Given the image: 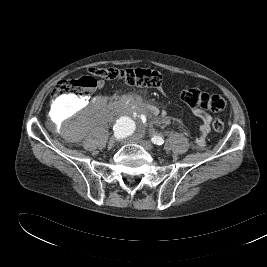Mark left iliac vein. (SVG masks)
I'll use <instances>...</instances> for the list:
<instances>
[{
    "label": "left iliac vein",
    "instance_id": "obj_1",
    "mask_svg": "<svg viewBox=\"0 0 267 267\" xmlns=\"http://www.w3.org/2000/svg\"><path fill=\"white\" fill-rule=\"evenodd\" d=\"M130 141L139 143L143 148H145V149H147V150H149V151H151V150L154 149V146H153L152 143L149 142V141H146V140H139V139H137V138H135V137L132 138Z\"/></svg>",
    "mask_w": 267,
    "mask_h": 267
}]
</instances>
